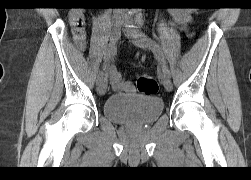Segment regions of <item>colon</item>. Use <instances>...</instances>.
Here are the masks:
<instances>
[{"instance_id": "5ec220e1", "label": "colon", "mask_w": 251, "mask_h": 180, "mask_svg": "<svg viewBox=\"0 0 251 180\" xmlns=\"http://www.w3.org/2000/svg\"><path fill=\"white\" fill-rule=\"evenodd\" d=\"M138 91L145 95H154L158 91L156 79L150 75H142L137 80Z\"/></svg>"}]
</instances>
